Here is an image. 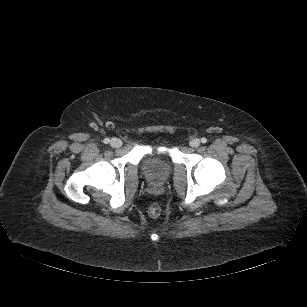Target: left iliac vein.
<instances>
[{"label":"left iliac vein","mask_w":307,"mask_h":307,"mask_svg":"<svg viewBox=\"0 0 307 307\" xmlns=\"http://www.w3.org/2000/svg\"><path fill=\"white\" fill-rule=\"evenodd\" d=\"M200 145V140L198 138H194L190 141V146L191 147H198Z\"/></svg>","instance_id":"left-iliac-vein-1"}]
</instances>
